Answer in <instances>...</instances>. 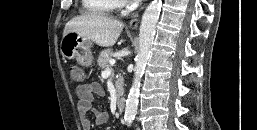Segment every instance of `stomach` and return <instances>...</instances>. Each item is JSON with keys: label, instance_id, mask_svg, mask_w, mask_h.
<instances>
[{"label": "stomach", "instance_id": "obj_1", "mask_svg": "<svg viewBox=\"0 0 257 130\" xmlns=\"http://www.w3.org/2000/svg\"><path fill=\"white\" fill-rule=\"evenodd\" d=\"M90 40L80 36L76 32H68L63 35L60 42V52L66 59H76L82 65H91L93 56Z\"/></svg>", "mask_w": 257, "mask_h": 130}]
</instances>
